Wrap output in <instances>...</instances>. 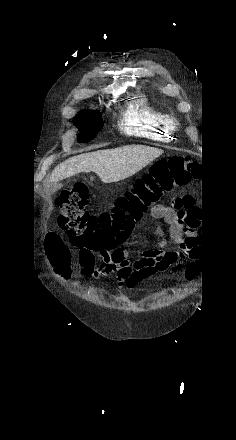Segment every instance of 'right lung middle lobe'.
<instances>
[{
	"label": "right lung middle lobe",
	"mask_w": 236,
	"mask_h": 440,
	"mask_svg": "<svg viewBox=\"0 0 236 440\" xmlns=\"http://www.w3.org/2000/svg\"><path fill=\"white\" fill-rule=\"evenodd\" d=\"M104 122L99 112L83 110L76 117V125L80 129L78 141H90L103 127Z\"/></svg>",
	"instance_id": "dd1d6c3e"
}]
</instances>
